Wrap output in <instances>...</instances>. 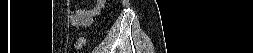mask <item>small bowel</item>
<instances>
[{
    "instance_id": "small-bowel-1",
    "label": "small bowel",
    "mask_w": 253,
    "mask_h": 53,
    "mask_svg": "<svg viewBox=\"0 0 253 53\" xmlns=\"http://www.w3.org/2000/svg\"><path fill=\"white\" fill-rule=\"evenodd\" d=\"M102 1H99L95 7L92 8H77L70 14L71 22L77 27H86L92 23L96 15L102 8Z\"/></svg>"
}]
</instances>
